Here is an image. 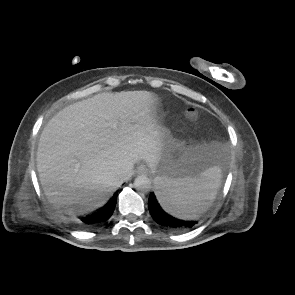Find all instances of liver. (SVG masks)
Segmentation results:
<instances>
[{
	"instance_id": "1",
	"label": "liver",
	"mask_w": 295,
	"mask_h": 295,
	"mask_svg": "<svg viewBox=\"0 0 295 295\" xmlns=\"http://www.w3.org/2000/svg\"><path fill=\"white\" fill-rule=\"evenodd\" d=\"M158 103L149 91L104 92L53 116L36 158L48 201L69 213L89 212L132 175L135 163L155 168L164 134Z\"/></svg>"
}]
</instances>
